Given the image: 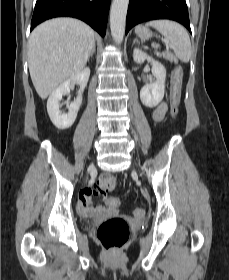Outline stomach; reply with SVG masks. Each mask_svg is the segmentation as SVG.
<instances>
[{
    "instance_id": "obj_1",
    "label": "stomach",
    "mask_w": 229,
    "mask_h": 280,
    "mask_svg": "<svg viewBox=\"0 0 229 280\" xmlns=\"http://www.w3.org/2000/svg\"><path fill=\"white\" fill-rule=\"evenodd\" d=\"M135 33L141 40H146L152 37V32L142 25L135 28Z\"/></svg>"
}]
</instances>
